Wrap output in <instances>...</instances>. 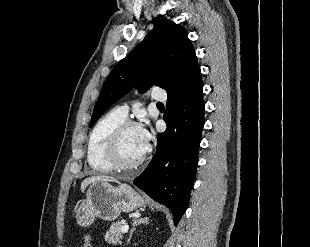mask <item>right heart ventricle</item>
Returning <instances> with one entry per match:
<instances>
[{"label":"right heart ventricle","instance_id":"obj_1","mask_svg":"<svg viewBox=\"0 0 310 247\" xmlns=\"http://www.w3.org/2000/svg\"><path fill=\"white\" fill-rule=\"evenodd\" d=\"M126 119L116 109L101 117L93 127L87 145V161L96 172L107 173L112 170L105 158L108 138L118 124Z\"/></svg>","mask_w":310,"mask_h":247}]
</instances>
